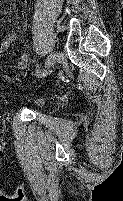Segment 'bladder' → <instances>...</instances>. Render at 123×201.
<instances>
[{
    "label": "bladder",
    "mask_w": 123,
    "mask_h": 201,
    "mask_svg": "<svg viewBox=\"0 0 123 201\" xmlns=\"http://www.w3.org/2000/svg\"><path fill=\"white\" fill-rule=\"evenodd\" d=\"M26 104L36 109H45L48 105V98L44 94H34L26 99Z\"/></svg>",
    "instance_id": "bladder-1"
}]
</instances>
